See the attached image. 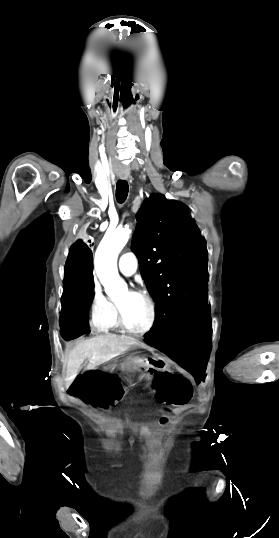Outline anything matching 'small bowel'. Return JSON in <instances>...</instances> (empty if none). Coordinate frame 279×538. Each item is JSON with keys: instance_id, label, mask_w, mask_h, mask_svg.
Wrapping results in <instances>:
<instances>
[{"instance_id": "small-bowel-1", "label": "small bowel", "mask_w": 279, "mask_h": 538, "mask_svg": "<svg viewBox=\"0 0 279 538\" xmlns=\"http://www.w3.org/2000/svg\"><path fill=\"white\" fill-rule=\"evenodd\" d=\"M147 390L161 403L170 408L187 404L192 398V391L186 378L171 373H155L145 383ZM168 416L165 414L161 424L166 425Z\"/></svg>"}]
</instances>
